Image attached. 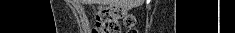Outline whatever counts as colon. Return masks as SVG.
Masks as SVG:
<instances>
[{
    "instance_id": "obj_1",
    "label": "colon",
    "mask_w": 235,
    "mask_h": 33,
    "mask_svg": "<svg viewBox=\"0 0 235 33\" xmlns=\"http://www.w3.org/2000/svg\"><path fill=\"white\" fill-rule=\"evenodd\" d=\"M120 19L130 29L129 32L134 33V17L117 6H107L98 11L92 33H121Z\"/></svg>"
}]
</instances>
